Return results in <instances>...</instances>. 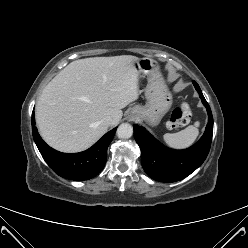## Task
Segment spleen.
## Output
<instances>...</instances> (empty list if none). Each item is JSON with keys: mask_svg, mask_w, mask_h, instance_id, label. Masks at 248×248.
I'll return each instance as SVG.
<instances>
[{"mask_svg": "<svg viewBox=\"0 0 248 248\" xmlns=\"http://www.w3.org/2000/svg\"><path fill=\"white\" fill-rule=\"evenodd\" d=\"M200 123L197 121L177 133H166L163 136L165 143L174 149H184L191 146L198 137Z\"/></svg>", "mask_w": 248, "mask_h": 248, "instance_id": "spleen-1", "label": "spleen"}]
</instances>
